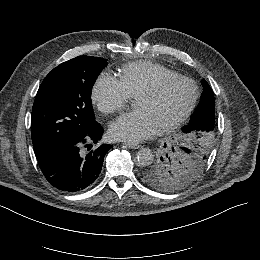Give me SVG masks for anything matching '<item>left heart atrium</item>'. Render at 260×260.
Wrapping results in <instances>:
<instances>
[{
    "label": "left heart atrium",
    "instance_id": "obj_1",
    "mask_svg": "<svg viewBox=\"0 0 260 260\" xmlns=\"http://www.w3.org/2000/svg\"><path fill=\"white\" fill-rule=\"evenodd\" d=\"M156 126L148 112L137 108L132 112L122 114L110 125V134L113 138L128 143H137L150 137Z\"/></svg>",
    "mask_w": 260,
    "mask_h": 260
}]
</instances>
